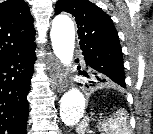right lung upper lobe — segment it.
<instances>
[{
  "label": "right lung upper lobe",
  "mask_w": 153,
  "mask_h": 134,
  "mask_svg": "<svg viewBox=\"0 0 153 134\" xmlns=\"http://www.w3.org/2000/svg\"><path fill=\"white\" fill-rule=\"evenodd\" d=\"M33 21L23 0L0 3V60L35 46Z\"/></svg>",
  "instance_id": "1"
}]
</instances>
